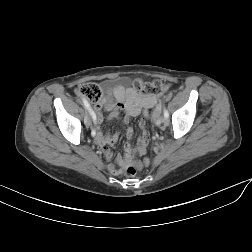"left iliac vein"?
I'll list each match as a JSON object with an SVG mask.
<instances>
[{
  "instance_id": "1",
  "label": "left iliac vein",
  "mask_w": 252,
  "mask_h": 252,
  "mask_svg": "<svg viewBox=\"0 0 252 252\" xmlns=\"http://www.w3.org/2000/svg\"><path fill=\"white\" fill-rule=\"evenodd\" d=\"M160 113V107L157 108V110L154 113V124L160 125L161 123L165 122L166 119H164L162 116L159 115Z\"/></svg>"
}]
</instances>
